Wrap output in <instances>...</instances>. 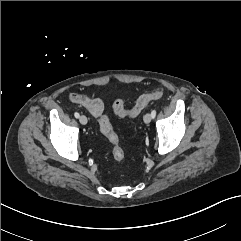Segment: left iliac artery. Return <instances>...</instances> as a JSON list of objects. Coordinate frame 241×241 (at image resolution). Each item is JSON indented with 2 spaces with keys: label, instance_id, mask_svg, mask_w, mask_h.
I'll use <instances>...</instances> for the list:
<instances>
[{
  "label": "left iliac artery",
  "instance_id": "1",
  "mask_svg": "<svg viewBox=\"0 0 241 241\" xmlns=\"http://www.w3.org/2000/svg\"><path fill=\"white\" fill-rule=\"evenodd\" d=\"M151 116H152V118H155V116H156V110H153V111L151 112Z\"/></svg>",
  "mask_w": 241,
  "mask_h": 241
}]
</instances>
